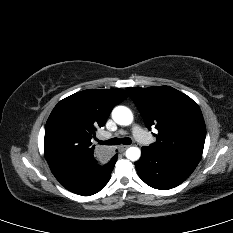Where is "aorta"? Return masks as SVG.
Masks as SVG:
<instances>
[{
    "mask_svg": "<svg viewBox=\"0 0 233 233\" xmlns=\"http://www.w3.org/2000/svg\"><path fill=\"white\" fill-rule=\"evenodd\" d=\"M113 120L123 126H128L133 122V114L131 110L125 106H117L112 111ZM141 150L138 147H129L126 150V157L131 161L139 160Z\"/></svg>",
    "mask_w": 233,
    "mask_h": 233,
    "instance_id": "1",
    "label": "aorta"
}]
</instances>
